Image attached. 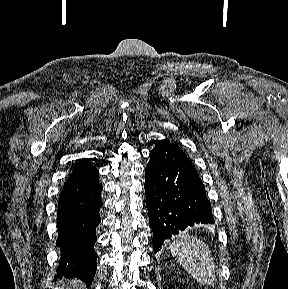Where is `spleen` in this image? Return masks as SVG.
<instances>
[{
  "instance_id": "1",
  "label": "spleen",
  "mask_w": 288,
  "mask_h": 289,
  "mask_svg": "<svg viewBox=\"0 0 288 289\" xmlns=\"http://www.w3.org/2000/svg\"><path fill=\"white\" fill-rule=\"evenodd\" d=\"M170 251L175 260L200 285H210L215 280V263L208 246L189 234L182 233L172 242Z\"/></svg>"
}]
</instances>
